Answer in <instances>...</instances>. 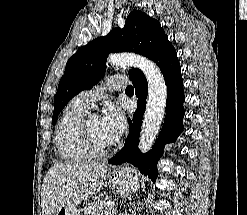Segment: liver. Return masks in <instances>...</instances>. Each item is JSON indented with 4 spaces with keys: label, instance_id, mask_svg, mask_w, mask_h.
I'll return each mask as SVG.
<instances>
[{
    "label": "liver",
    "instance_id": "6515ba94",
    "mask_svg": "<svg viewBox=\"0 0 247 215\" xmlns=\"http://www.w3.org/2000/svg\"><path fill=\"white\" fill-rule=\"evenodd\" d=\"M107 166L101 163H55L42 185V215H55L66 203L96 194L106 184Z\"/></svg>",
    "mask_w": 247,
    "mask_h": 215
}]
</instances>
